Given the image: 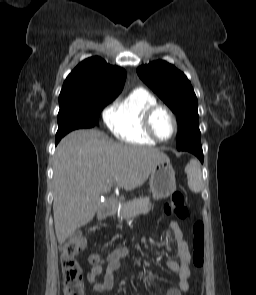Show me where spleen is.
Masks as SVG:
<instances>
[{"instance_id": "3e777b00", "label": "spleen", "mask_w": 256, "mask_h": 295, "mask_svg": "<svg viewBox=\"0 0 256 295\" xmlns=\"http://www.w3.org/2000/svg\"><path fill=\"white\" fill-rule=\"evenodd\" d=\"M186 172L189 188L195 193L200 192L203 183L199 163L195 160H191L186 168Z\"/></svg>"}]
</instances>
